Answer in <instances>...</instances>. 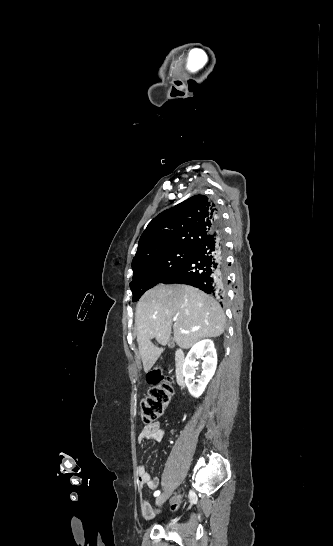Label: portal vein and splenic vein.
<instances>
[{
	"label": "portal vein and splenic vein",
	"instance_id": "18ae733b",
	"mask_svg": "<svg viewBox=\"0 0 333 546\" xmlns=\"http://www.w3.org/2000/svg\"><path fill=\"white\" fill-rule=\"evenodd\" d=\"M173 321H176V319L174 318ZM181 333H188V332L181 330Z\"/></svg>",
	"mask_w": 333,
	"mask_h": 546
}]
</instances>
